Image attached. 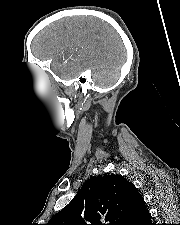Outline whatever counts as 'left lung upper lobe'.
<instances>
[{"mask_svg":"<svg viewBox=\"0 0 180 225\" xmlns=\"http://www.w3.org/2000/svg\"><path fill=\"white\" fill-rule=\"evenodd\" d=\"M143 207L142 195L126 178L91 177L46 225H124Z\"/></svg>","mask_w":180,"mask_h":225,"instance_id":"obj_1","label":"left lung upper lobe"}]
</instances>
